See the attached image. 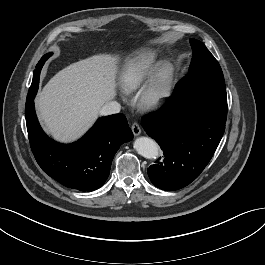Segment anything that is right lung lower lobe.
Wrapping results in <instances>:
<instances>
[{
	"label": "right lung lower lobe",
	"mask_w": 265,
	"mask_h": 265,
	"mask_svg": "<svg viewBox=\"0 0 265 265\" xmlns=\"http://www.w3.org/2000/svg\"><path fill=\"white\" fill-rule=\"evenodd\" d=\"M33 99L26 100L25 117L30 146L42 170L68 188L88 192L100 188L119 147L133 139L126 117L115 114L99 118L83 138L60 144L43 132Z\"/></svg>",
	"instance_id": "right-lung-lower-lobe-1"
}]
</instances>
